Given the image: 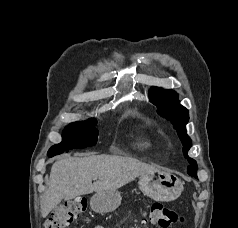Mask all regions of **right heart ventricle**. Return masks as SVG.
I'll use <instances>...</instances> for the list:
<instances>
[{
	"label": "right heart ventricle",
	"mask_w": 238,
	"mask_h": 228,
	"mask_svg": "<svg viewBox=\"0 0 238 228\" xmlns=\"http://www.w3.org/2000/svg\"><path fill=\"white\" fill-rule=\"evenodd\" d=\"M156 144V140L155 138H153L152 136H145L142 138L141 142H140V145L142 147H145V148H149V147H152Z\"/></svg>",
	"instance_id": "right-heart-ventricle-1"
}]
</instances>
